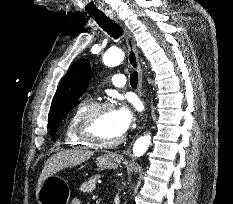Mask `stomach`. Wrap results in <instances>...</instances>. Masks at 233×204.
Instances as JSON below:
<instances>
[{"label":"stomach","instance_id":"obj_1","mask_svg":"<svg viewBox=\"0 0 233 204\" xmlns=\"http://www.w3.org/2000/svg\"><path fill=\"white\" fill-rule=\"evenodd\" d=\"M101 169H117L121 157L115 153H106L96 159ZM70 189L67 182L56 176L48 177L41 185L36 200L38 204H68Z\"/></svg>","mask_w":233,"mask_h":204}]
</instances>
